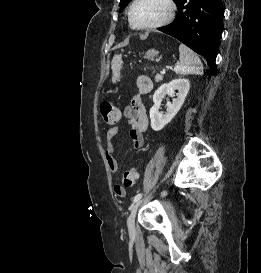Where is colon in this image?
<instances>
[{
	"label": "colon",
	"mask_w": 261,
	"mask_h": 273,
	"mask_svg": "<svg viewBox=\"0 0 261 273\" xmlns=\"http://www.w3.org/2000/svg\"><path fill=\"white\" fill-rule=\"evenodd\" d=\"M101 114L104 121L108 125H115L119 122L121 112L120 110L110 102H103L100 106ZM139 176L138 169L136 167L127 170L121 179V183L116 185V190L118 193H122L126 188L132 187Z\"/></svg>",
	"instance_id": "5ec220e1"
}]
</instances>
